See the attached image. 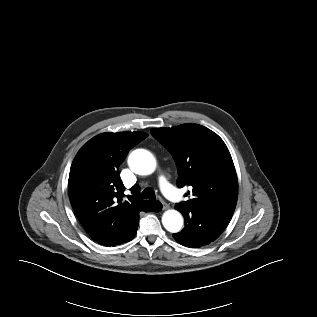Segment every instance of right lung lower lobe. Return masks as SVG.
Instances as JSON below:
<instances>
[{
    "mask_svg": "<svg viewBox=\"0 0 317 317\" xmlns=\"http://www.w3.org/2000/svg\"><path fill=\"white\" fill-rule=\"evenodd\" d=\"M161 209H162V204L160 202H154L144 211L145 212H150V211L159 212ZM138 219H139V216L138 218L135 219V222L132 226V230L129 232V234L125 237V239L120 244L130 241L135 236L137 232V227H138ZM90 236L93 240L97 241L99 244L108 246L107 244L108 241H106V238L104 236L97 235V233L91 234Z\"/></svg>",
    "mask_w": 317,
    "mask_h": 317,
    "instance_id": "obj_1",
    "label": "right lung lower lobe"
}]
</instances>
